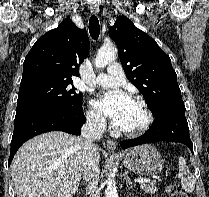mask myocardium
I'll return each mask as SVG.
<instances>
[{"label": "myocardium", "instance_id": "f54148a6", "mask_svg": "<svg viewBox=\"0 0 209 197\" xmlns=\"http://www.w3.org/2000/svg\"><path fill=\"white\" fill-rule=\"evenodd\" d=\"M136 103L141 107L143 111V114H144L143 122L134 129H130V130L121 129L120 130L122 134L126 136H130V137H136V136H140L144 134L151 127L153 120H154L151 110L149 109L147 103L143 99L138 98L136 100Z\"/></svg>", "mask_w": 209, "mask_h": 197}]
</instances>
